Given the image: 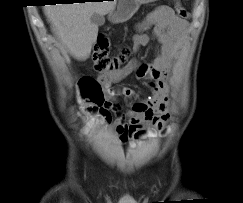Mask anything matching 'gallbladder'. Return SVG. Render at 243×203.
<instances>
[{"label":"gallbladder","instance_id":"obj_1","mask_svg":"<svg viewBox=\"0 0 243 203\" xmlns=\"http://www.w3.org/2000/svg\"><path fill=\"white\" fill-rule=\"evenodd\" d=\"M91 22L96 26H102L105 23V18L100 14L94 13L91 16Z\"/></svg>","mask_w":243,"mask_h":203}]
</instances>
